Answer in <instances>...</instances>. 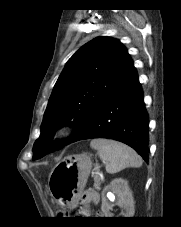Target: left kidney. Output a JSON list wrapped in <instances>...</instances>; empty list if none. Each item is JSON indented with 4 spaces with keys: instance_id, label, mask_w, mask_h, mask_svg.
<instances>
[{
    "instance_id": "left-kidney-1",
    "label": "left kidney",
    "mask_w": 181,
    "mask_h": 227,
    "mask_svg": "<svg viewBox=\"0 0 181 227\" xmlns=\"http://www.w3.org/2000/svg\"><path fill=\"white\" fill-rule=\"evenodd\" d=\"M115 198V204L110 202ZM108 199L110 201H108ZM115 205H118L124 210L121 213L122 217H133L135 213L134 198L129 188L128 181L122 178L112 180L102 192L101 210L105 217H114L111 211Z\"/></svg>"
}]
</instances>
